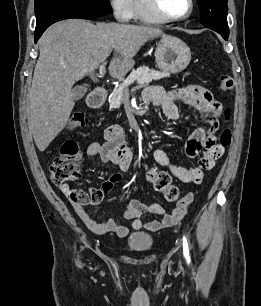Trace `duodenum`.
I'll use <instances>...</instances> for the list:
<instances>
[{"instance_id":"1","label":"duodenum","mask_w":261,"mask_h":306,"mask_svg":"<svg viewBox=\"0 0 261 306\" xmlns=\"http://www.w3.org/2000/svg\"><path fill=\"white\" fill-rule=\"evenodd\" d=\"M107 97V90L103 87L94 89L87 97V104L90 108H99L103 105ZM145 110L141 113L143 114Z\"/></svg>"}]
</instances>
